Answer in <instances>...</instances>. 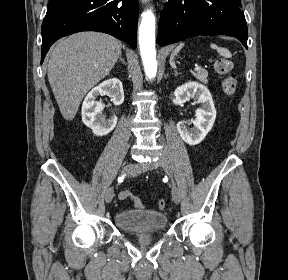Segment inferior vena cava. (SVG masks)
<instances>
[{"mask_svg": "<svg viewBox=\"0 0 288 280\" xmlns=\"http://www.w3.org/2000/svg\"><path fill=\"white\" fill-rule=\"evenodd\" d=\"M157 138H156V143H161L160 145H161V147H162V149L163 150H160L159 151V154H160V158L161 159H170V154H168V152H167V144H166V142H165V138H163L164 136H163V134H157V136H156Z\"/></svg>", "mask_w": 288, "mask_h": 280, "instance_id": "602c4592", "label": "inferior vena cava"}]
</instances>
